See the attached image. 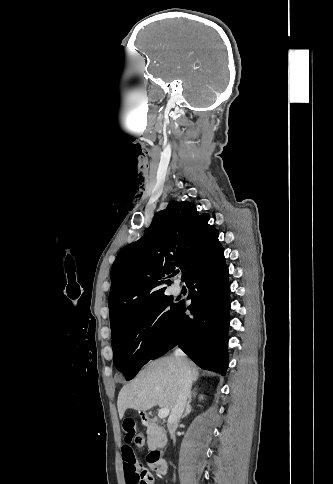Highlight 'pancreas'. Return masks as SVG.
Instances as JSON below:
<instances>
[{"label": "pancreas", "mask_w": 333, "mask_h": 484, "mask_svg": "<svg viewBox=\"0 0 333 484\" xmlns=\"http://www.w3.org/2000/svg\"><path fill=\"white\" fill-rule=\"evenodd\" d=\"M156 422V418L152 419V424L147 428V444L150 450L162 447L167 442L164 429Z\"/></svg>", "instance_id": "cf45deb5"}]
</instances>
